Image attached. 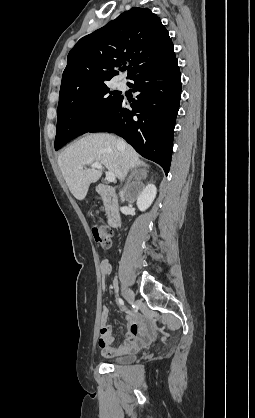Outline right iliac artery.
I'll return each mask as SVG.
<instances>
[{"label":"right iliac artery","instance_id":"obj_1","mask_svg":"<svg viewBox=\"0 0 255 418\" xmlns=\"http://www.w3.org/2000/svg\"><path fill=\"white\" fill-rule=\"evenodd\" d=\"M118 303H119L120 305H124V302H123V300H122L121 298H118Z\"/></svg>","mask_w":255,"mask_h":418}]
</instances>
